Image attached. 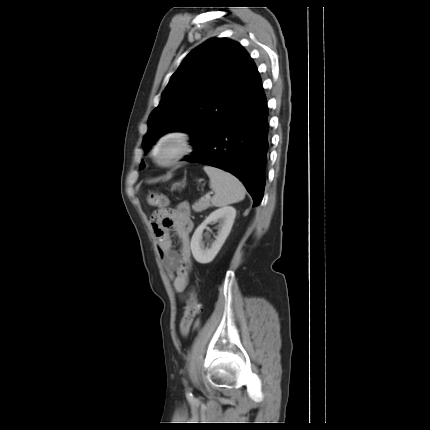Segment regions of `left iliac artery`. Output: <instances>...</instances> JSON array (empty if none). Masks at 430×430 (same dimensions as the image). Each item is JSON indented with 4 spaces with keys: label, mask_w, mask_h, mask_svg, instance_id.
<instances>
[{
    "label": "left iliac artery",
    "mask_w": 430,
    "mask_h": 430,
    "mask_svg": "<svg viewBox=\"0 0 430 430\" xmlns=\"http://www.w3.org/2000/svg\"><path fill=\"white\" fill-rule=\"evenodd\" d=\"M197 330H200V327H197Z\"/></svg>",
    "instance_id": "1"
}]
</instances>
